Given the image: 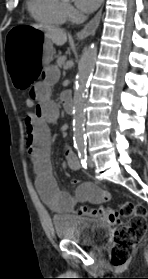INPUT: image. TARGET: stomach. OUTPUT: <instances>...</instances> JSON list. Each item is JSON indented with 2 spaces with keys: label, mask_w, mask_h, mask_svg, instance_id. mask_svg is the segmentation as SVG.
<instances>
[{
  "label": "stomach",
  "mask_w": 148,
  "mask_h": 279,
  "mask_svg": "<svg viewBox=\"0 0 148 279\" xmlns=\"http://www.w3.org/2000/svg\"><path fill=\"white\" fill-rule=\"evenodd\" d=\"M4 35L6 69L14 91H30L36 78H39L42 67L52 60L53 47L45 33L35 25H11Z\"/></svg>",
  "instance_id": "1"
}]
</instances>
